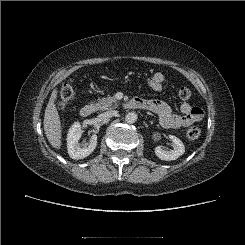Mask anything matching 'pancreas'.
<instances>
[{
  "instance_id": "pancreas-1",
  "label": "pancreas",
  "mask_w": 245,
  "mask_h": 245,
  "mask_svg": "<svg viewBox=\"0 0 245 245\" xmlns=\"http://www.w3.org/2000/svg\"><path fill=\"white\" fill-rule=\"evenodd\" d=\"M95 106L98 110L105 111L116 109L119 106V103L114 96H107L106 98L99 99Z\"/></svg>"
}]
</instances>
